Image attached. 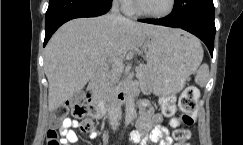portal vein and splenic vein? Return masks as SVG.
I'll return each mask as SVG.
<instances>
[{"instance_id":"portal-vein-and-splenic-vein-1","label":"portal vein and splenic vein","mask_w":243,"mask_h":145,"mask_svg":"<svg viewBox=\"0 0 243 145\" xmlns=\"http://www.w3.org/2000/svg\"><path fill=\"white\" fill-rule=\"evenodd\" d=\"M114 64L118 65L119 67L123 68V60L119 57H113Z\"/></svg>"}]
</instances>
